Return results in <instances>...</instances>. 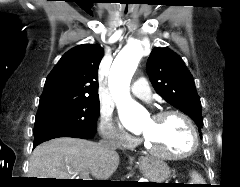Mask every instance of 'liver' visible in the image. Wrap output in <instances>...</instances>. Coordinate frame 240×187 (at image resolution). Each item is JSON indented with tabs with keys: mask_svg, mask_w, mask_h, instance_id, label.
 <instances>
[{
	"mask_svg": "<svg viewBox=\"0 0 240 187\" xmlns=\"http://www.w3.org/2000/svg\"><path fill=\"white\" fill-rule=\"evenodd\" d=\"M119 165V155L105 152L97 143L70 137L37 146L29 163V178L74 179L88 172L96 180H108Z\"/></svg>",
	"mask_w": 240,
	"mask_h": 187,
	"instance_id": "liver-1",
	"label": "liver"
}]
</instances>
